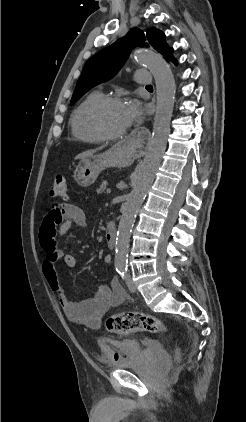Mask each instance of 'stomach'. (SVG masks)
<instances>
[{
	"mask_svg": "<svg viewBox=\"0 0 246 422\" xmlns=\"http://www.w3.org/2000/svg\"><path fill=\"white\" fill-rule=\"evenodd\" d=\"M133 157L129 146L119 142L103 153L82 159L74 171V179L79 186L88 187L105 168L128 166Z\"/></svg>",
	"mask_w": 246,
	"mask_h": 422,
	"instance_id": "0dacf381",
	"label": "stomach"
}]
</instances>
